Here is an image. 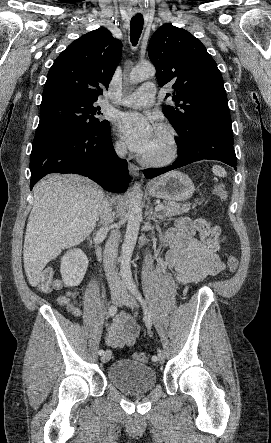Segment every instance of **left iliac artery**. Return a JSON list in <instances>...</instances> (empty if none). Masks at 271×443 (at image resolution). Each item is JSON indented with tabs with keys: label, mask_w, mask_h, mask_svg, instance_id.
I'll use <instances>...</instances> for the list:
<instances>
[{
	"label": "left iliac artery",
	"mask_w": 271,
	"mask_h": 443,
	"mask_svg": "<svg viewBox=\"0 0 271 443\" xmlns=\"http://www.w3.org/2000/svg\"><path fill=\"white\" fill-rule=\"evenodd\" d=\"M129 290L136 297V299L140 302V304L143 308V312H144L143 319L145 321L146 327L148 328V330H150L152 327V314H151L150 309L147 306L146 301L143 299L141 293L139 292V290L137 289L135 284H130ZM157 360H158V357L156 355H153L152 361H157Z\"/></svg>",
	"instance_id": "left-iliac-artery-1"
}]
</instances>
